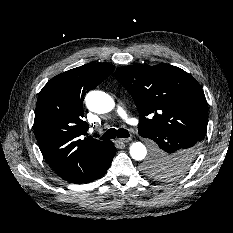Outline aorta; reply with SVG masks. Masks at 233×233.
Wrapping results in <instances>:
<instances>
[{
	"label": "aorta",
	"mask_w": 233,
	"mask_h": 233,
	"mask_svg": "<svg viewBox=\"0 0 233 233\" xmlns=\"http://www.w3.org/2000/svg\"><path fill=\"white\" fill-rule=\"evenodd\" d=\"M87 108L95 113L103 114L110 112L115 102L113 98L102 91H91L85 97ZM147 149L141 142H135L130 146V155L134 160L141 161L146 157Z\"/></svg>",
	"instance_id": "obj_1"
}]
</instances>
